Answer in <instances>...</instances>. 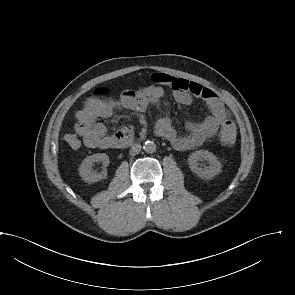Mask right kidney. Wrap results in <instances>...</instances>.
<instances>
[{
  "label": "right kidney",
  "instance_id": "obj_1",
  "mask_svg": "<svg viewBox=\"0 0 295 295\" xmlns=\"http://www.w3.org/2000/svg\"><path fill=\"white\" fill-rule=\"evenodd\" d=\"M102 162L104 170L102 172L93 171L94 162ZM109 157L105 153H97L86 157L79 167V174L85 182L94 183L98 182L107 176L106 167L109 165Z\"/></svg>",
  "mask_w": 295,
  "mask_h": 295
}]
</instances>
